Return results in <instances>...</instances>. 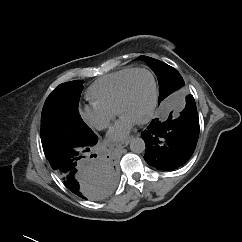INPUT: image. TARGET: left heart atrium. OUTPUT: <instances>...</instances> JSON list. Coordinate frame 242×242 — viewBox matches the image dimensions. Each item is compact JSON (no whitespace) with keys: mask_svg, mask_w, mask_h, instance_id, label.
Listing matches in <instances>:
<instances>
[{"mask_svg":"<svg viewBox=\"0 0 242 242\" xmlns=\"http://www.w3.org/2000/svg\"><path fill=\"white\" fill-rule=\"evenodd\" d=\"M136 123L137 122L133 119L121 115L120 119L110 129L108 133L109 139L111 141H119L124 139L130 133Z\"/></svg>","mask_w":242,"mask_h":242,"instance_id":"1","label":"left heart atrium"}]
</instances>
